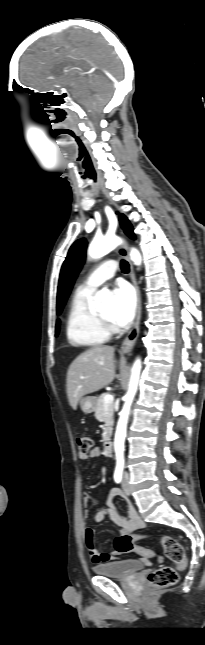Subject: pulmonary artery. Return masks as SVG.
Wrapping results in <instances>:
<instances>
[{
    "instance_id": "obj_1",
    "label": "pulmonary artery",
    "mask_w": 205,
    "mask_h": 645,
    "mask_svg": "<svg viewBox=\"0 0 205 645\" xmlns=\"http://www.w3.org/2000/svg\"><path fill=\"white\" fill-rule=\"evenodd\" d=\"M117 270V264L114 260L103 262L97 267L78 287L79 290L93 292L98 286L111 279Z\"/></svg>"
}]
</instances>
